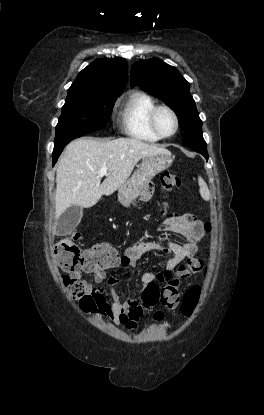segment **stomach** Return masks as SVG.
I'll return each instance as SVG.
<instances>
[{
  "mask_svg": "<svg viewBox=\"0 0 264 415\" xmlns=\"http://www.w3.org/2000/svg\"><path fill=\"white\" fill-rule=\"evenodd\" d=\"M172 162L173 158L170 153L142 158L137 171L119 188V202L125 207H130L131 204H134L136 198L142 194L143 189L151 179L156 174L168 169Z\"/></svg>",
  "mask_w": 264,
  "mask_h": 415,
  "instance_id": "obj_1",
  "label": "stomach"
}]
</instances>
